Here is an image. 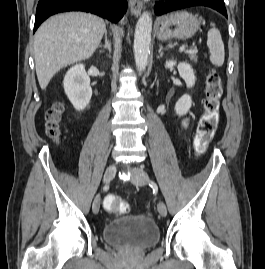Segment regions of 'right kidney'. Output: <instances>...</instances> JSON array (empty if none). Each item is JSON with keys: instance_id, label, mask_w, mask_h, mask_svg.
Here are the masks:
<instances>
[{"instance_id": "1", "label": "right kidney", "mask_w": 265, "mask_h": 269, "mask_svg": "<svg viewBox=\"0 0 265 269\" xmlns=\"http://www.w3.org/2000/svg\"><path fill=\"white\" fill-rule=\"evenodd\" d=\"M64 91L77 111H82L89 104L92 96L90 78L83 64H76L66 73L63 81Z\"/></svg>"}]
</instances>
